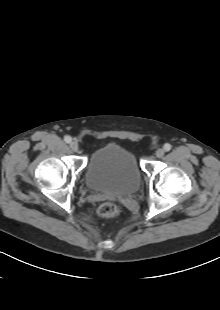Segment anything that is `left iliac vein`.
<instances>
[{
	"label": "left iliac vein",
	"mask_w": 220,
	"mask_h": 310,
	"mask_svg": "<svg viewBox=\"0 0 220 310\" xmlns=\"http://www.w3.org/2000/svg\"><path fill=\"white\" fill-rule=\"evenodd\" d=\"M155 154H156V157L161 158L164 156L165 150L164 149H158Z\"/></svg>",
	"instance_id": "obj_1"
}]
</instances>
